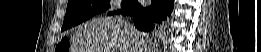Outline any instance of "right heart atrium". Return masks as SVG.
<instances>
[{
    "mask_svg": "<svg viewBox=\"0 0 261 52\" xmlns=\"http://www.w3.org/2000/svg\"><path fill=\"white\" fill-rule=\"evenodd\" d=\"M108 5H109L108 9H109L110 11H115V10L120 9V7H121V2L118 1V0H113V1H110V2L108 3Z\"/></svg>",
    "mask_w": 261,
    "mask_h": 52,
    "instance_id": "1",
    "label": "right heart atrium"
}]
</instances>
